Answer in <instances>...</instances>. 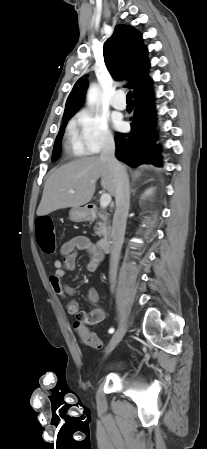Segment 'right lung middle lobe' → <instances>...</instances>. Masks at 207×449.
<instances>
[{
	"instance_id": "1",
	"label": "right lung middle lobe",
	"mask_w": 207,
	"mask_h": 449,
	"mask_svg": "<svg viewBox=\"0 0 207 449\" xmlns=\"http://www.w3.org/2000/svg\"><path fill=\"white\" fill-rule=\"evenodd\" d=\"M69 119L70 118L64 119L63 120V124L60 127L59 133H58L57 138H56L55 143H54L53 154H52V161H56L59 158L61 138H62V135L64 133V129H65L66 123H67V121Z\"/></svg>"
}]
</instances>
